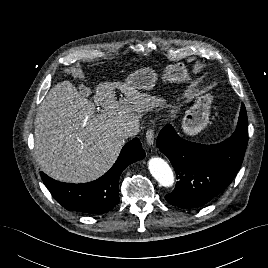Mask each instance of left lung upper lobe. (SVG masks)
I'll return each mask as SVG.
<instances>
[{
	"label": "left lung upper lobe",
	"instance_id": "left-lung-upper-lobe-1",
	"mask_svg": "<svg viewBox=\"0 0 268 268\" xmlns=\"http://www.w3.org/2000/svg\"><path fill=\"white\" fill-rule=\"evenodd\" d=\"M244 123L245 126H247V114H246V110H242L240 111V116H239V120H238V125ZM246 140H248V137L246 135Z\"/></svg>",
	"mask_w": 268,
	"mask_h": 268
}]
</instances>
